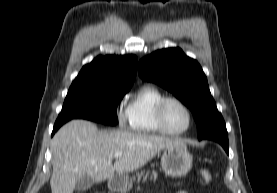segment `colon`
<instances>
[{
    "label": "colon",
    "instance_id": "colon-1",
    "mask_svg": "<svg viewBox=\"0 0 277 193\" xmlns=\"http://www.w3.org/2000/svg\"><path fill=\"white\" fill-rule=\"evenodd\" d=\"M200 174L205 183H210L212 181V174L209 170L202 169Z\"/></svg>",
    "mask_w": 277,
    "mask_h": 193
}]
</instances>
